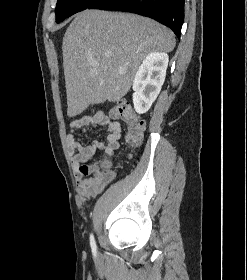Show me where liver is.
<instances>
[{
  "mask_svg": "<svg viewBox=\"0 0 247 280\" xmlns=\"http://www.w3.org/2000/svg\"><path fill=\"white\" fill-rule=\"evenodd\" d=\"M174 47L172 31L150 18L99 10L78 13L62 45L68 116L122 99L141 61Z\"/></svg>",
  "mask_w": 247,
  "mask_h": 280,
  "instance_id": "1",
  "label": "liver"
}]
</instances>
